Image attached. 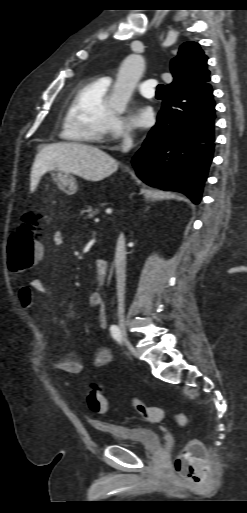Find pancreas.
<instances>
[{
  "label": "pancreas",
  "mask_w": 247,
  "mask_h": 513,
  "mask_svg": "<svg viewBox=\"0 0 247 513\" xmlns=\"http://www.w3.org/2000/svg\"><path fill=\"white\" fill-rule=\"evenodd\" d=\"M97 213H98V209L93 208L92 206H87L86 209L81 210L80 215L84 216L85 219H89V218H92Z\"/></svg>",
  "instance_id": "obj_1"
}]
</instances>
